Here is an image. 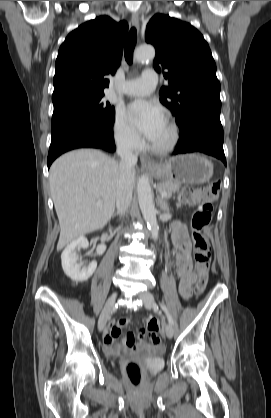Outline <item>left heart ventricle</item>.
Listing matches in <instances>:
<instances>
[{"label": "left heart ventricle", "instance_id": "left-heart-ventricle-1", "mask_svg": "<svg viewBox=\"0 0 271 418\" xmlns=\"http://www.w3.org/2000/svg\"><path fill=\"white\" fill-rule=\"evenodd\" d=\"M170 138H171V130H170L169 125L165 121V123L163 124V126L159 130L158 134L156 135V137L151 142L155 145L163 146L166 143H168Z\"/></svg>", "mask_w": 271, "mask_h": 418}]
</instances>
